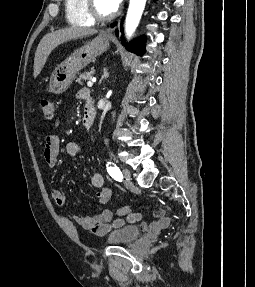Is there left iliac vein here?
<instances>
[{"label":"left iliac vein","mask_w":255,"mask_h":287,"mask_svg":"<svg viewBox=\"0 0 255 287\" xmlns=\"http://www.w3.org/2000/svg\"><path fill=\"white\" fill-rule=\"evenodd\" d=\"M123 173V181L126 185H129L131 183V171L127 168H124L122 170Z\"/></svg>","instance_id":"left-iliac-vein-1"}]
</instances>
